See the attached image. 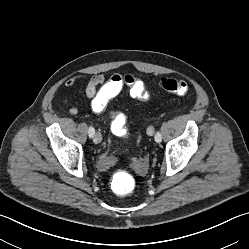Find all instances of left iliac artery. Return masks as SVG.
<instances>
[{"label":"left iliac artery","instance_id":"44dca946","mask_svg":"<svg viewBox=\"0 0 249 249\" xmlns=\"http://www.w3.org/2000/svg\"><path fill=\"white\" fill-rule=\"evenodd\" d=\"M155 141L157 143H160L162 141V136H161L160 132H156V134H155Z\"/></svg>","mask_w":249,"mask_h":249}]
</instances>
